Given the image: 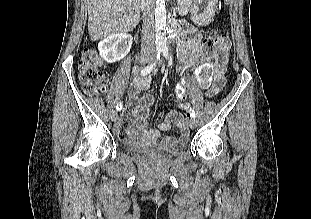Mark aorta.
Wrapping results in <instances>:
<instances>
[{
	"label": "aorta",
	"instance_id": "762f6f07",
	"mask_svg": "<svg viewBox=\"0 0 311 219\" xmlns=\"http://www.w3.org/2000/svg\"><path fill=\"white\" fill-rule=\"evenodd\" d=\"M155 45L157 49L166 48V3L165 0H156L155 6Z\"/></svg>",
	"mask_w": 311,
	"mask_h": 219
}]
</instances>
